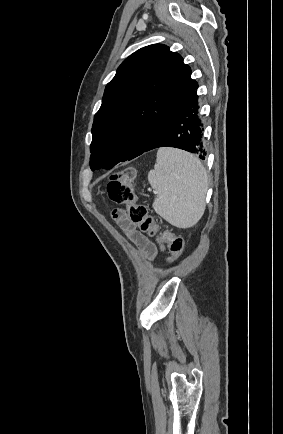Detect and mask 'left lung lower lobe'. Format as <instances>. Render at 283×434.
<instances>
[{
  "instance_id": "left-lung-lower-lobe-1",
  "label": "left lung lower lobe",
  "mask_w": 283,
  "mask_h": 434,
  "mask_svg": "<svg viewBox=\"0 0 283 434\" xmlns=\"http://www.w3.org/2000/svg\"><path fill=\"white\" fill-rule=\"evenodd\" d=\"M197 89L191 92L165 119L144 152L159 147H175L203 155L202 124L198 117ZM143 152V153H144Z\"/></svg>"
}]
</instances>
